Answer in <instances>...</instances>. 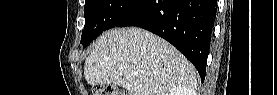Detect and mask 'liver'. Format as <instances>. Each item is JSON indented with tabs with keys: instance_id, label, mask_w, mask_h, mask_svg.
I'll return each instance as SVG.
<instances>
[{
	"instance_id": "1",
	"label": "liver",
	"mask_w": 277,
	"mask_h": 95,
	"mask_svg": "<svg viewBox=\"0 0 277 95\" xmlns=\"http://www.w3.org/2000/svg\"><path fill=\"white\" fill-rule=\"evenodd\" d=\"M90 85L114 84L129 95H168L182 89L195 95L194 66L166 40L129 27L103 33L84 64Z\"/></svg>"
}]
</instances>
